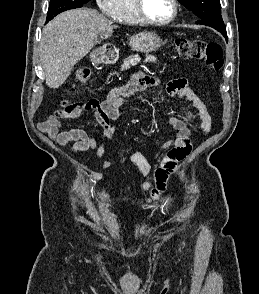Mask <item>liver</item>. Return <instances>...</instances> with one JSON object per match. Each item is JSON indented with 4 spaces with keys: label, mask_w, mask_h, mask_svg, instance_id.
Segmentation results:
<instances>
[{
    "label": "liver",
    "mask_w": 259,
    "mask_h": 294,
    "mask_svg": "<svg viewBox=\"0 0 259 294\" xmlns=\"http://www.w3.org/2000/svg\"><path fill=\"white\" fill-rule=\"evenodd\" d=\"M115 28L112 21L93 9L69 10L56 16L43 28L40 42L46 85L53 89L61 86L98 37H110Z\"/></svg>",
    "instance_id": "obj_1"
}]
</instances>
